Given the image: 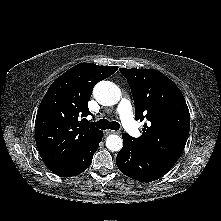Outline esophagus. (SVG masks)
I'll use <instances>...</instances> for the list:
<instances>
[{
  "instance_id": "34e87169",
  "label": "esophagus",
  "mask_w": 221,
  "mask_h": 221,
  "mask_svg": "<svg viewBox=\"0 0 221 221\" xmlns=\"http://www.w3.org/2000/svg\"><path fill=\"white\" fill-rule=\"evenodd\" d=\"M105 133L108 135V134H116V133H119V132L108 129V130L105 131Z\"/></svg>"
}]
</instances>
